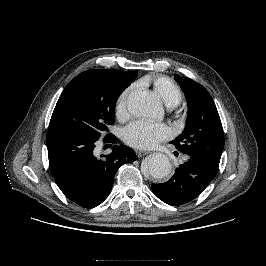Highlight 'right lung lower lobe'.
<instances>
[{
    "mask_svg": "<svg viewBox=\"0 0 266 266\" xmlns=\"http://www.w3.org/2000/svg\"><path fill=\"white\" fill-rule=\"evenodd\" d=\"M50 172L64 195L85 208H94L109 195L115 173L123 164L137 160L135 152L125 145H115L112 152L94 155L98 139L74 131L50 129L47 133ZM105 142L115 143L109 134Z\"/></svg>",
    "mask_w": 266,
    "mask_h": 266,
    "instance_id": "98d812e1",
    "label": "right lung lower lobe"
}]
</instances>
